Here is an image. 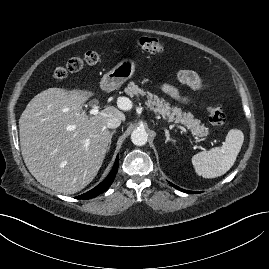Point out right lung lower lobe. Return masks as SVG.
I'll return each instance as SVG.
<instances>
[{"label": "right lung lower lobe", "mask_w": 269, "mask_h": 269, "mask_svg": "<svg viewBox=\"0 0 269 269\" xmlns=\"http://www.w3.org/2000/svg\"><path fill=\"white\" fill-rule=\"evenodd\" d=\"M118 165H119V158L117 156L115 163H114V166H113L111 172L109 173V175L95 188H93L92 190H90V191H88L80 196H77L76 198H78V199H90V198L96 197L97 195L106 191L109 188V186L112 184V182L116 176V173L118 170Z\"/></svg>", "instance_id": "98d812e1"}]
</instances>
